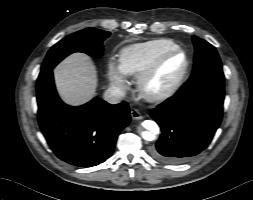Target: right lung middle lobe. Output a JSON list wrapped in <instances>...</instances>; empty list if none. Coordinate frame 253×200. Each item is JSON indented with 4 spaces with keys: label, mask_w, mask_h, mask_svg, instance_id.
<instances>
[{
    "label": "right lung middle lobe",
    "mask_w": 253,
    "mask_h": 200,
    "mask_svg": "<svg viewBox=\"0 0 253 200\" xmlns=\"http://www.w3.org/2000/svg\"><path fill=\"white\" fill-rule=\"evenodd\" d=\"M109 35V32L95 28H87L71 34L49 50L41 70L54 68L62 59L73 52L100 56L103 51L102 43Z\"/></svg>",
    "instance_id": "dd1d6c3e"
}]
</instances>
